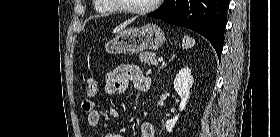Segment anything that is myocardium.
<instances>
[{"label": "myocardium", "mask_w": 280, "mask_h": 137, "mask_svg": "<svg viewBox=\"0 0 280 137\" xmlns=\"http://www.w3.org/2000/svg\"><path fill=\"white\" fill-rule=\"evenodd\" d=\"M161 2V0H153L152 3L146 7H139V8H126L123 6H116L121 12L127 13V14H147L151 11H153L158 4Z\"/></svg>", "instance_id": "obj_1"}]
</instances>
